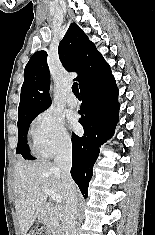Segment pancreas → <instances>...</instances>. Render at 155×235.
<instances>
[{
	"label": "pancreas",
	"instance_id": "1",
	"mask_svg": "<svg viewBox=\"0 0 155 235\" xmlns=\"http://www.w3.org/2000/svg\"><path fill=\"white\" fill-rule=\"evenodd\" d=\"M48 230L53 233V235H62V227L58 222V218H52L48 222Z\"/></svg>",
	"mask_w": 155,
	"mask_h": 235
}]
</instances>
